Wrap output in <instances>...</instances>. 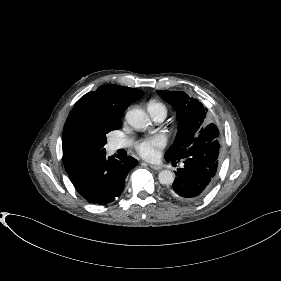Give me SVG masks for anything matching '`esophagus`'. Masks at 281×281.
<instances>
[{"label": "esophagus", "instance_id": "1", "mask_svg": "<svg viewBox=\"0 0 281 281\" xmlns=\"http://www.w3.org/2000/svg\"><path fill=\"white\" fill-rule=\"evenodd\" d=\"M149 167L152 168V169H154V170H158V171L162 169L161 166H159V165H153V164H149Z\"/></svg>", "mask_w": 281, "mask_h": 281}]
</instances>
